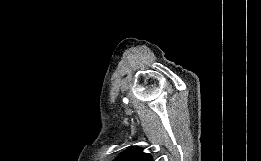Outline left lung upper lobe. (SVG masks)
<instances>
[{
    "instance_id": "1",
    "label": "left lung upper lobe",
    "mask_w": 261,
    "mask_h": 161,
    "mask_svg": "<svg viewBox=\"0 0 261 161\" xmlns=\"http://www.w3.org/2000/svg\"><path fill=\"white\" fill-rule=\"evenodd\" d=\"M115 161H152V157L143 153L140 148L132 147L119 155Z\"/></svg>"
}]
</instances>
